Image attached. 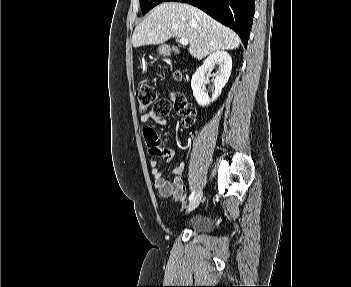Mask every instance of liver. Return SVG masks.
Returning <instances> with one entry per match:
<instances>
[{
	"label": "liver",
	"instance_id": "1",
	"mask_svg": "<svg viewBox=\"0 0 351 287\" xmlns=\"http://www.w3.org/2000/svg\"><path fill=\"white\" fill-rule=\"evenodd\" d=\"M171 37L188 39L189 52L198 59L216 51L236 49L241 42L233 30L200 9L185 3L166 2L156 6L136 26L132 44L135 48L157 45Z\"/></svg>",
	"mask_w": 351,
	"mask_h": 287
}]
</instances>
